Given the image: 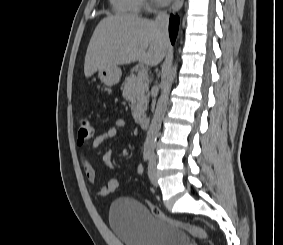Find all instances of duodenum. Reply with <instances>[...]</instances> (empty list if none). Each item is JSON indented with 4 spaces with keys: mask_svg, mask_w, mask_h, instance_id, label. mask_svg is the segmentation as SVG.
<instances>
[{
    "mask_svg": "<svg viewBox=\"0 0 283 245\" xmlns=\"http://www.w3.org/2000/svg\"><path fill=\"white\" fill-rule=\"evenodd\" d=\"M137 122L142 128L146 129L149 126L150 119L147 116L142 115L137 117Z\"/></svg>",
    "mask_w": 283,
    "mask_h": 245,
    "instance_id": "obj_1",
    "label": "duodenum"
}]
</instances>
